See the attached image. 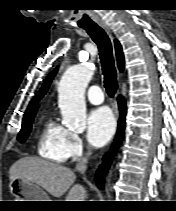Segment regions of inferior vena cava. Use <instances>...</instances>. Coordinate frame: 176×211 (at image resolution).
<instances>
[{
  "label": "inferior vena cava",
  "instance_id": "inferior-vena-cava-1",
  "mask_svg": "<svg viewBox=\"0 0 176 211\" xmlns=\"http://www.w3.org/2000/svg\"><path fill=\"white\" fill-rule=\"evenodd\" d=\"M91 154L90 148L86 154V157L84 159H82L81 161H78L76 164V170L84 173L86 171L87 168V157Z\"/></svg>",
  "mask_w": 176,
  "mask_h": 211
}]
</instances>
